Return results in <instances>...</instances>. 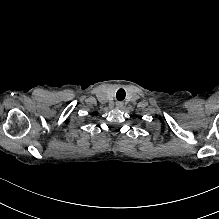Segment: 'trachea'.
<instances>
[{
    "label": "trachea",
    "instance_id": "3493384b",
    "mask_svg": "<svg viewBox=\"0 0 219 219\" xmlns=\"http://www.w3.org/2000/svg\"><path fill=\"white\" fill-rule=\"evenodd\" d=\"M124 97H125V91L123 89H119L117 91L116 98L121 101L124 99Z\"/></svg>",
    "mask_w": 219,
    "mask_h": 219
}]
</instances>
